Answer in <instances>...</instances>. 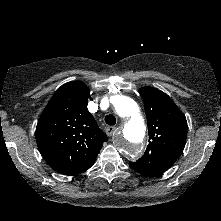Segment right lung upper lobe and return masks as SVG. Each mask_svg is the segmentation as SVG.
Returning a JSON list of instances; mask_svg holds the SVG:
<instances>
[{
	"label": "right lung upper lobe",
	"instance_id": "right-lung-upper-lobe-1",
	"mask_svg": "<svg viewBox=\"0 0 221 221\" xmlns=\"http://www.w3.org/2000/svg\"><path fill=\"white\" fill-rule=\"evenodd\" d=\"M89 97L83 82H68L55 92L38 121V148L48 165L61 174L87 167L107 141L87 109Z\"/></svg>",
	"mask_w": 221,
	"mask_h": 221
}]
</instances>
